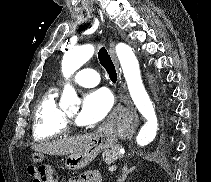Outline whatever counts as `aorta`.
<instances>
[{
    "mask_svg": "<svg viewBox=\"0 0 211 182\" xmlns=\"http://www.w3.org/2000/svg\"><path fill=\"white\" fill-rule=\"evenodd\" d=\"M94 52L95 48L91 44L82 45L66 52L62 60L63 76L69 79L75 71L94 55ZM116 54L120 61L130 96L138 111L146 119L145 124L136 137V142L139 146H146L154 140L157 133L158 121L156 113L142 83L139 63L132 48L125 43H118L116 45ZM77 101L78 96L75 89L67 83L64 86L61 103L70 105Z\"/></svg>",
    "mask_w": 211,
    "mask_h": 182,
    "instance_id": "762f6f07",
    "label": "aorta"
}]
</instances>
